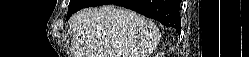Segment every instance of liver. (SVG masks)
Masks as SVG:
<instances>
[{"mask_svg": "<svg viewBox=\"0 0 249 57\" xmlns=\"http://www.w3.org/2000/svg\"><path fill=\"white\" fill-rule=\"evenodd\" d=\"M71 25L75 57H149L160 41L154 22L115 5L82 9Z\"/></svg>", "mask_w": 249, "mask_h": 57, "instance_id": "liver-1", "label": "liver"}]
</instances>
